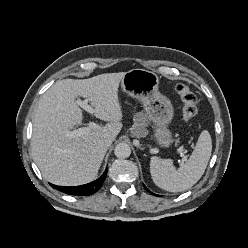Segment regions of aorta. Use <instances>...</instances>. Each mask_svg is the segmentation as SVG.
<instances>
[{"instance_id":"762f6f07","label":"aorta","mask_w":248,"mask_h":248,"mask_svg":"<svg viewBox=\"0 0 248 248\" xmlns=\"http://www.w3.org/2000/svg\"><path fill=\"white\" fill-rule=\"evenodd\" d=\"M114 154L118 158H128L131 154L130 146L126 143H119L114 149Z\"/></svg>"}]
</instances>
